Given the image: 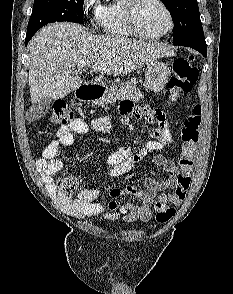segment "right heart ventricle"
Here are the masks:
<instances>
[{
	"instance_id": "e07e8e85",
	"label": "right heart ventricle",
	"mask_w": 233,
	"mask_h": 294,
	"mask_svg": "<svg viewBox=\"0 0 233 294\" xmlns=\"http://www.w3.org/2000/svg\"><path fill=\"white\" fill-rule=\"evenodd\" d=\"M127 2V0H114L104 6L98 23L106 34L118 38L139 37L128 25L126 18Z\"/></svg>"
}]
</instances>
